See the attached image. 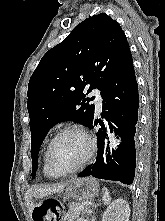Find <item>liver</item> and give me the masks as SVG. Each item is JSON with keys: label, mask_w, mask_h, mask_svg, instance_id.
Listing matches in <instances>:
<instances>
[{"label": "liver", "mask_w": 165, "mask_h": 221, "mask_svg": "<svg viewBox=\"0 0 165 221\" xmlns=\"http://www.w3.org/2000/svg\"><path fill=\"white\" fill-rule=\"evenodd\" d=\"M67 183L64 184H59V185H55V186H48V187H34V188H30L27 192H26V202H27V206L29 209V213L31 214L33 209H34V204L32 203V197H45L48 196L52 193H56V192H60L61 190H63L65 188Z\"/></svg>", "instance_id": "liver-1"}]
</instances>
